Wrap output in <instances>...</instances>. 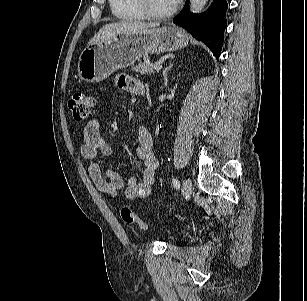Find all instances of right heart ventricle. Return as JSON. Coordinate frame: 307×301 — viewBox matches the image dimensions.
Segmentation results:
<instances>
[{
  "label": "right heart ventricle",
  "instance_id": "obj_1",
  "mask_svg": "<svg viewBox=\"0 0 307 301\" xmlns=\"http://www.w3.org/2000/svg\"><path fill=\"white\" fill-rule=\"evenodd\" d=\"M113 15L119 20L136 21L144 19L135 0H109Z\"/></svg>",
  "mask_w": 307,
  "mask_h": 301
}]
</instances>
